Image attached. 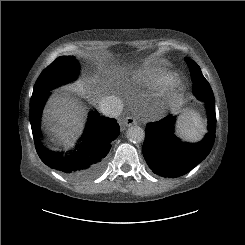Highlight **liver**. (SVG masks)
<instances>
[{
    "mask_svg": "<svg viewBox=\"0 0 245 245\" xmlns=\"http://www.w3.org/2000/svg\"><path fill=\"white\" fill-rule=\"evenodd\" d=\"M67 86L55 93L48 101L44 112L45 123L49 132L62 142L65 148L74 144V140L81 134L84 122V109L78 101L68 96Z\"/></svg>",
    "mask_w": 245,
    "mask_h": 245,
    "instance_id": "6515ba94",
    "label": "liver"
}]
</instances>
